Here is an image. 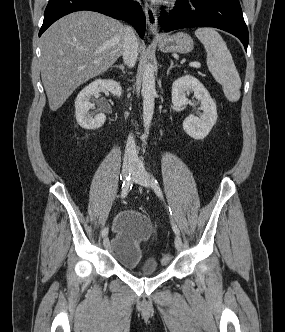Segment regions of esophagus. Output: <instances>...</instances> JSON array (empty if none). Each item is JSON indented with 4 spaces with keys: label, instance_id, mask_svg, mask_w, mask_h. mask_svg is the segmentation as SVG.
Instances as JSON below:
<instances>
[{
    "label": "esophagus",
    "instance_id": "1",
    "mask_svg": "<svg viewBox=\"0 0 285 332\" xmlns=\"http://www.w3.org/2000/svg\"><path fill=\"white\" fill-rule=\"evenodd\" d=\"M144 12L146 15V21H147L149 31L153 35H157L158 34V20H157L156 10L148 3H145Z\"/></svg>",
    "mask_w": 285,
    "mask_h": 332
}]
</instances>
